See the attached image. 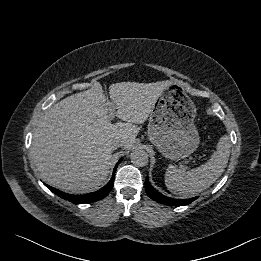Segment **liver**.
<instances>
[{
  "instance_id": "liver-1",
  "label": "liver",
  "mask_w": 261,
  "mask_h": 261,
  "mask_svg": "<svg viewBox=\"0 0 261 261\" xmlns=\"http://www.w3.org/2000/svg\"><path fill=\"white\" fill-rule=\"evenodd\" d=\"M169 81L120 82L109 86L111 103L102 86L68 96L42 116L35 129L31 154L41 178L51 186L72 194L98 190L107 179L112 151L119 140L131 148ZM124 122L112 124L109 110Z\"/></svg>"
}]
</instances>
